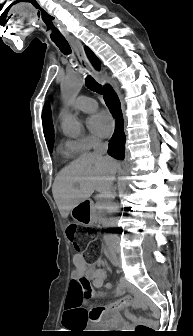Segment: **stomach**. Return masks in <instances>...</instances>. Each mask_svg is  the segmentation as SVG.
<instances>
[{
	"mask_svg": "<svg viewBox=\"0 0 193 336\" xmlns=\"http://www.w3.org/2000/svg\"><path fill=\"white\" fill-rule=\"evenodd\" d=\"M71 216L84 226H90L95 222L91 204L86 200L78 203L72 208Z\"/></svg>",
	"mask_w": 193,
	"mask_h": 336,
	"instance_id": "1",
	"label": "stomach"
}]
</instances>
